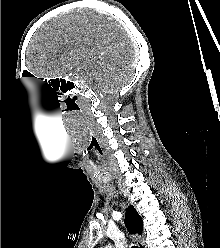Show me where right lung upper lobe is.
Here are the masks:
<instances>
[{
  "mask_svg": "<svg viewBox=\"0 0 220 248\" xmlns=\"http://www.w3.org/2000/svg\"><path fill=\"white\" fill-rule=\"evenodd\" d=\"M124 222L130 234L142 233V226H143L142 218L133 206H129L127 208ZM140 248L142 247L140 246Z\"/></svg>",
  "mask_w": 220,
  "mask_h": 248,
  "instance_id": "1",
  "label": "right lung upper lobe"
}]
</instances>
